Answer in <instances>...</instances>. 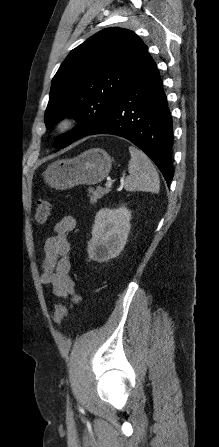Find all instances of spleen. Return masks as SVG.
Wrapping results in <instances>:
<instances>
[{
    "label": "spleen",
    "mask_w": 219,
    "mask_h": 447,
    "mask_svg": "<svg viewBox=\"0 0 219 447\" xmlns=\"http://www.w3.org/2000/svg\"><path fill=\"white\" fill-rule=\"evenodd\" d=\"M131 159L128 164L129 176L125 179L127 191L159 192V176L151 160L135 147H129Z\"/></svg>",
    "instance_id": "spleen-1"
}]
</instances>
